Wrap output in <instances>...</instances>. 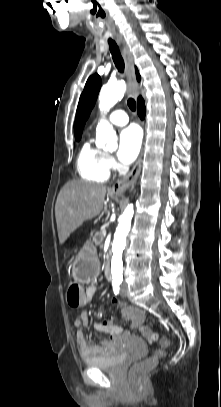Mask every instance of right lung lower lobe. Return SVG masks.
Segmentation results:
<instances>
[{
    "label": "right lung lower lobe",
    "instance_id": "1",
    "mask_svg": "<svg viewBox=\"0 0 221 407\" xmlns=\"http://www.w3.org/2000/svg\"><path fill=\"white\" fill-rule=\"evenodd\" d=\"M138 114L141 119L145 116V105L143 99L140 97L138 98Z\"/></svg>",
    "mask_w": 221,
    "mask_h": 407
}]
</instances>
